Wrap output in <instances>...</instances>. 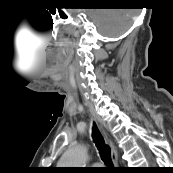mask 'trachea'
<instances>
[{
  "instance_id": "1",
  "label": "trachea",
  "mask_w": 173,
  "mask_h": 173,
  "mask_svg": "<svg viewBox=\"0 0 173 173\" xmlns=\"http://www.w3.org/2000/svg\"><path fill=\"white\" fill-rule=\"evenodd\" d=\"M92 137L97 149L99 150L102 161L108 167H113L110 147L105 143L104 138L100 133L99 129L97 128L96 124H94L93 126Z\"/></svg>"
}]
</instances>
